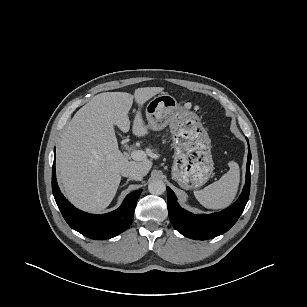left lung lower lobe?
Returning <instances> with one entry per match:
<instances>
[{
  "label": "left lung lower lobe",
  "mask_w": 307,
  "mask_h": 307,
  "mask_svg": "<svg viewBox=\"0 0 307 307\" xmlns=\"http://www.w3.org/2000/svg\"><path fill=\"white\" fill-rule=\"evenodd\" d=\"M248 149L246 184L243 192L232 206L221 212L194 215L178 205L174 192L167 187L169 218L177 231L191 239L206 240L227 232L236 223L246 206L250 193L251 152L250 147Z\"/></svg>",
  "instance_id": "left-lung-lower-lobe-1"
}]
</instances>
